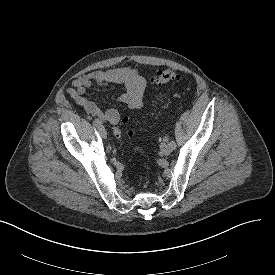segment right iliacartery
I'll return each mask as SVG.
<instances>
[{"instance_id": "right-iliac-artery-1", "label": "right iliac artery", "mask_w": 275, "mask_h": 275, "mask_svg": "<svg viewBox=\"0 0 275 275\" xmlns=\"http://www.w3.org/2000/svg\"><path fill=\"white\" fill-rule=\"evenodd\" d=\"M93 125L98 128L101 125V121H99V119H95L93 121Z\"/></svg>"}]
</instances>
